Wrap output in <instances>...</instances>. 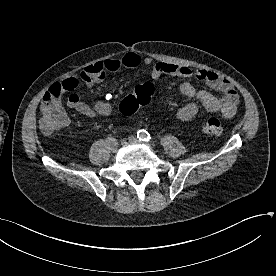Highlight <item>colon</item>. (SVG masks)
Instances as JSON below:
<instances>
[{"label":"colon","instance_id":"5ec220e1","mask_svg":"<svg viewBox=\"0 0 276 276\" xmlns=\"http://www.w3.org/2000/svg\"><path fill=\"white\" fill-rule=\"evenodd\" d=\"M77 86L78 82L71 80L58 82L51 86L46 97L47 103L44 108H41L40 128L43 133L51 134L67 125L68 119L62 109L60 99L63 94L73 91ZM154 92V86L149 82L138 85L133 93L121 101L120 111L124 115H132L151 101ZM201 130L207 135L219 136L223 132V125L219 119L210 118L202 123Z\"/></svg>","mask_w":276,"mask_h":276}]
</instances>
